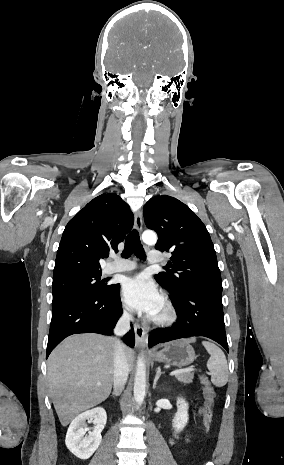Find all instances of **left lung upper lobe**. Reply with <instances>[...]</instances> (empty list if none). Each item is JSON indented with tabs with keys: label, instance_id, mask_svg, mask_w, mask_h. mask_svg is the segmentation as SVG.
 <instances>
[{
	"label": "left lung upper lobe",
	"instance_id": "obj_1",
	"mask_svg": "<svg viewBox=\"0 0 284 465\" xmlns=\"http://www.w3.org/2000/svg\"><path fill=\"white\" fill-rule=\"evenodd\" d=\"M143 214L148 228L157 232L155 248L171 251L167 266L172 272L155 275L171 295L200 288L222 293V280L210 235L196 214L178 199L160 195L151 198Z\"/></svg>",
	"mask_w": 284,
	"mask_h": 465
}]
</instances>
